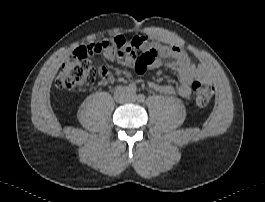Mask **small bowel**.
Segmentation results:
<instances>
[{"label": "small bowel", "mask_w": 265, "mask_h": 202, "mask_svg": "<svg viewBox=\"0 0 265 202\" xmlns=\"http://www.w3.org/2000/svg\"><path fill=\"white\" fill-rule=\"evenodd\" d=\"M147 47L154 49L155 55L146 62V69L158 70L164 66V60H170L167 64L168 67L176 72L179 76V85L175 87L171 84H161L155 81H149V86L154 90L166 94L172 95L177 92L183 98H189L191 96V84L199 78L200 69L192 61V59L182 50L178 45H167L157 40L154 36H147ZM76 54L86 53L87 48L77 49ZM104 57L107 60H116L118 63L124 66H131L134 63V57L131 54H115L110 51L104 53ZM120 81H124V78H119Z\"/></svg>", "instance_id": "small-bowel-1"}]
</instances>
